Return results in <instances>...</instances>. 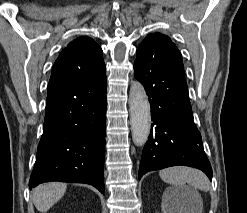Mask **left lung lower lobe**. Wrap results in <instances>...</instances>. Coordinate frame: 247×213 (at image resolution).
Segmentation results:
<instances>
[{
  "mask_svg": "<svg viewBox=\"0 0 247 213\" xmlns=\"http://www.w3.org/2000/svg\"><path fill=\"white\" fill-rule=\"evenodd\" d=\"M134 73L145 87L153 121L142 153L139 179L149 171L186 165L202 170L212 180V168L193 121L183 63L136 60Z\"/></svg>",
  "mask_w": 247,
  "mask_h": 213,
  "instance_id": "obj_1",
  "label": "left lung lower lobe"
}]
</instances>
